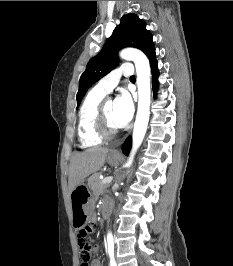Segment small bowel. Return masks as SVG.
<instances>
[{
  "label": "small bowel",
  "instance_id": "c3829d8e",
  "mask_svg": "<svg viewBox=\"0 0 233 266\" xmlns=\"http://www.w3.org/2000/svg\"><path fill=\"white\" fill-rule=\"evenodd\" d=\"M101 249L100 245H96L91 248V251L98 252ZM88 266H102L99 259H94Z\"/></svg>",
  "mask_w": 233,
  "mask_h": 266
}]
</instances>
